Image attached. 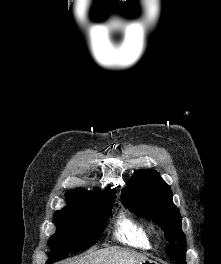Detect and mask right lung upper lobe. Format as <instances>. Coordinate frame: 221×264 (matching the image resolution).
Segmentation results:
<instances>
[{
	"mask_svg": "<svg viewBox=\"0 0 221 264\" xmlns=\"http://www.w3.org/2000/svg\"><path fill=\"white\" fill-rule=\"evenodd\" d=\"M67 200V209H81L89 205L90 203L107 198H115V192L111 189H106L102 192H89L86 190H69L65 193Z\"/></svg>",
	"mask_w": 221,
	"mask_h": 264,
	"instance_id": "cb5924a9",
	"label": "right lung upper lobe"
}]
</instances>
